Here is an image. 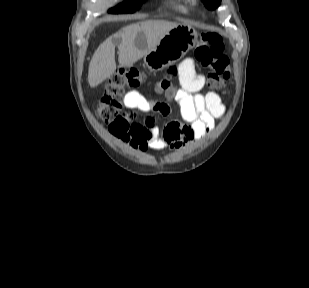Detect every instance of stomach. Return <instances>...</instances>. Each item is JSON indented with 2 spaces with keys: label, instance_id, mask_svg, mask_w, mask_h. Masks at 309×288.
<instances>
[{
  "label": "stomach",
  "instance_id": "stomach-1",
  "mask_svg": "<svg viewBox=\"0 0 309 288\" xmlns=\"http://www.w3.org/2000/svg\"><path fill=\"white\" fill-rule=\"evenodd\" d=\"M198 41V33L189 24H178L165 34L149 53L144 63L151 71H159L179 61Z\"/></svg>",
  "mask_w": 309,
  "mask_h": 288
}]
</instances>
